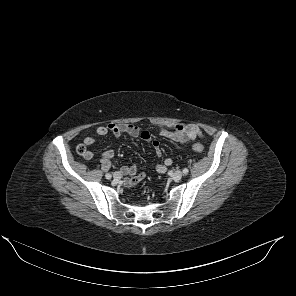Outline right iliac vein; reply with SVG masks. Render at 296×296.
Listing matches in <instances>:
<instances>
[{
  "label": "right iliac vein",
  "instance_id": "1",
  "mask_svg": "<svg viewBox=\"0 0 296 296\" xmlns=\"http://www.w3.org/2000/svg\"><path fill=\"white\" fill-rule=\"evenodd\" d=\"M113 177L115 179H120L121 178V174L119 172H115L114 175H113Z\"/></svg>",
  "mask_w": 296,
  "mask_h": 296
}]
</instances>
